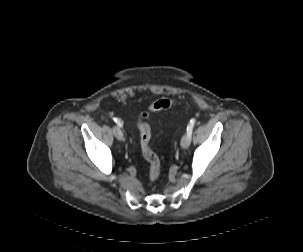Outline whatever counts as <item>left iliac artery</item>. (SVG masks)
<instances>
[{"instance_id":"obj_1","label":"left iliac artery","mask_w":303,"mask_h":252,"mask_svg":"<svg viewBox=\"0 0 303 252\" xmlns=\"http://www.w3.org/2000/svg\"><path fill=\"white\" fill-rule=\"evenodd\" d=\"M195 122L196 120L195 119H191L188 126H187V132L192 134V130H193V127L195 125Z\"/></svg>"}]
</instances>
